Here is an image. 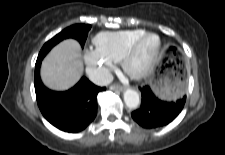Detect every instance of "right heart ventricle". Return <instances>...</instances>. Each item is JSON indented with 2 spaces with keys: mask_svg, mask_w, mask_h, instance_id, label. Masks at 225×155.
<instances>
[{
  "mask_svg": "<svg viewBox=\"0 0 225 155\" xmlns=\"http://www.w3.org/2000/svg\"><path fill=\"white\" fill-rule=\"evenodd\" d=\"M143 33L141 29L101 32L94 38L95 50L113 62L121 61L128 47Z\"/></svg>",
  "mask_w": 225,
  "mask_h": 155,
  "instance_id": "e07e8e85",
  "label": "right heart ventricle"
}]
</instances>
